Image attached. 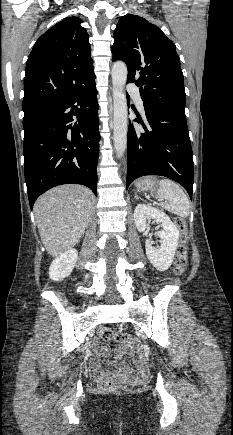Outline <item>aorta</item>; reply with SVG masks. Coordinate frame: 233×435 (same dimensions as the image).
I'll use <instances>...</instances> for the list:
<instances>
[{
  "label": "aorta",
  "mask_w": 233,
  "mask_h": 435,
  "mask_svg": "<svg viewBox=\"0 0 233 435\" xmlns=\"http://www.w3.org/2000/svg\"><path fill=\"white\" fill-rule=\"evenodd\" d=\"M127 74V66L124 62L114 63L111 72L114 103V148L118 158L123 156L127 147L128 107L124 91Z\"/></svg>",
  "instance_id": "aorta-1"
}]
</instances>
